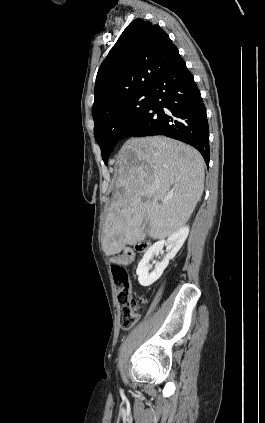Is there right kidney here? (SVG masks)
Listing matches in <instances>:
<instances>
[{"mask_svg":"<svg viewBox=\"0 0 265 423\" xmlns=\"http://www.w3.org/2000/svg\"><path fill=\"white\" fill-rule=\"evenodd\" d=\"M189 234V227L183 226L173 234H171L167 240H160L154 243L144 254L142 260L139 262L136 274L138 275V282L141 286L147 287L157 281L164 270L167 268L169 261L175 257L178 251L183 246L186 238ZM164 245H166L167 254L163 261L156 263L155 268L152 272H149L151 265L149 264L153 256H158L162 251Z\"/></svg>","mask_w":265,"mask_h":423,"instance_id":"right-kidney-1","label":"right kidney"}]
</instances>
